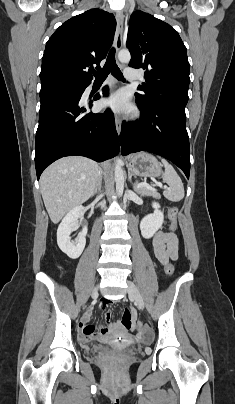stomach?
Returning a JSON list of instances; mask_svg holds the SVG:
<instances>
[{
    "instance_id": "0dacf381",
    "label": "stomach",
    "mask_w": 235,
    "mask_h": 404,
    "mask_svg": "<svg viewBox=\"0 0 235 404\" xmlns=\"http://www.w3.org/2000/svg\"><path fill=\"white\" fill-rule=\"evenodd\" d=\"M162 165L151 154L140 152L128 158V170L141 177H159Z\"/></svg>"
}]
</instances>
